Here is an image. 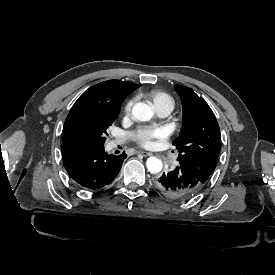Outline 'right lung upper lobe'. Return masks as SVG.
I'll use <instances>...</instances> for the list:
<instances>
[{"label": "right lung upper lobe", "instance_id": "obj_1", "mask_svg": "<svg viewBox=\"0 0 275 275\" xmlns=\"http://www.w3.org/2000/svg\"><path fill=\"white\" fill-rule=\"evenodd\" d=\"M137 87V84L119 80H109L98 83L86 90L78 98L72 106L65 122L86 110L97 108L120 110L123 99Z\"/></svg>", "mask_w": 275, "mask_h": 275}]
</instances>
